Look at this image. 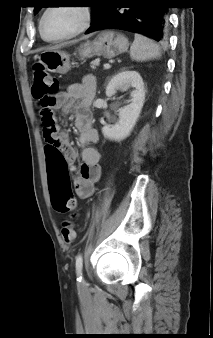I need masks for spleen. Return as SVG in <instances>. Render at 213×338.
I'll return each instance as SVG.
<instances>
[{"instance_id":"spleen-1","label":"spleen","mask_w":213,"mask_h":338,"mask_svg":"<svg viewBox=\"0 0 213 338\" xmlns=\"http://www.w3.org/2000/svg\"><path fill=\"white\" fill-rule=\"evenodd\" d=\"M130 57L135 61H147L161 57L159 46L151 39L135 34L134 41L130 48Z\"/></svg>"}]
</instances>
